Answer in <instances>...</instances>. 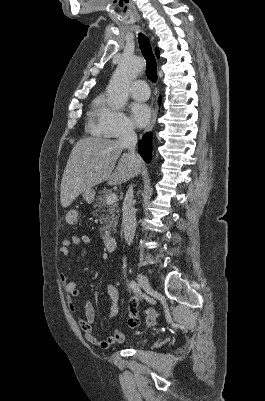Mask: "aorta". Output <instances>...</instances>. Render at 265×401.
Instances as JSON below:
<instances>
[{"mask_svg":"<svg viewBox=\"0 0 265 401\" xmlns=\"http://www.w3.org/2000/svg\"><path fill=\"white\" fill-rule=\"evenodd\" d=\"M143 68L142 58L122 60L107 86V100L112 108H122L128 100L129 84Z\"/></svg>","mask_w":265,"mask_h":401,"instance_id":"1","label":"aorta"}]
</instances>
